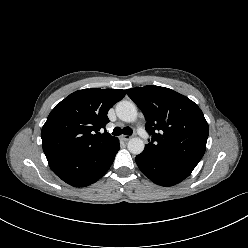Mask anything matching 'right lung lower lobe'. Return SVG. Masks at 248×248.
I'll use <instances>...</instances> for the list:
<instances>
[{
    "label": "right lung lower lobe",
    "instance_id": "obj_1",
    "mask_svg": "<svg viewBox=\"0 0 248 248\" xmlns=\"http://www.w3.org/2000/svg\"><path fill=\"white\" fill-rule=\"evenodd\" d=\"M120 149L119 140L83 155H53L47 160L52 171L64 182L84 187L96 182L112 165Z\"/></svg>",
    "mask_w": 248,
    "mask_h": 248
}]
</instances>
